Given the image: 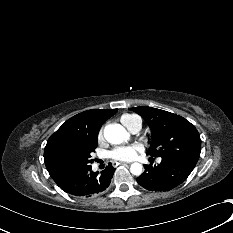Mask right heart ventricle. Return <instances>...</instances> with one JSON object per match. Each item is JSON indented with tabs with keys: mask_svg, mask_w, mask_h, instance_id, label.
<instances>
[{
	"mask_svg": "<svg viewBox=\"0 0 233 233\" xmlns=\"http://www.w3.org/2000/svg\"><path fill=\"white\" fill-rule=\"evenodd\" d=\"M120 122L128 130H132L136 125L142 124L141 118L135 114H123L120 117Z\"/></svg>",
	"mask_w": 233,
	"mask_h": 233,
	"instance_id": "obj_1",
	"label": "right heart ventricle"
}]
</instances>
